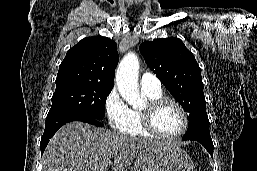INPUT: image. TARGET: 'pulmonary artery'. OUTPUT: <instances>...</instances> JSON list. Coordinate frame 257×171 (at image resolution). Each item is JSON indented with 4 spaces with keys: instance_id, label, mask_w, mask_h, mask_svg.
Masks as SVG:
<instances>
[{
    "instance_id": "1",
    "label": "pulmonary artery",
    "mask_w": 257,
    "mask_h": 171,
    "mask_svg": "<svg viewBox=\"0 0 257 171\" xmlns=\"http://www.w3.org/2000/svg\"><path fill=\"white\" fill-rule=\"evenodd\" d=\"M140 86L147 90H161L160 80L151 72H145L142 74L140 78Z\"/></svg>"
}]
</instances>
